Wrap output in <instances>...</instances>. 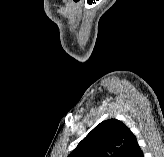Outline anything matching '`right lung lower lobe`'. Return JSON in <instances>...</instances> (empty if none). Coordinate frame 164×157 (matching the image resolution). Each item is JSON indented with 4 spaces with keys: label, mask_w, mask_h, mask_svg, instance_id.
Returning a JSON list of instances; mask_svg holds the SVG:
<instances>
[{
    "label": "right lung lower lobe",
    "mask_w": 164,
    "mask_h": 157,
    "mask_svg": "<svg viewBox=\"0 0 164 157\" xmlns=\"http://www.w3.org/2000/svg\"><path fill=\"white\" fill-rule=\"evenodd\" d=\"M125 157H144L137 141L132 145Z\"/></svg>",
    "instance_id": "obj_1"
}]
</instances>
